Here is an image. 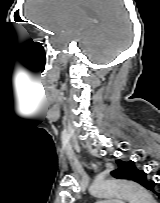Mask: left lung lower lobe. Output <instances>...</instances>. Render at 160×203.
I'll use <instances>...</instances> for the list:
<instances>
[{"instance_id": "0a47b994", "label": "left lung lower lobe", "mask_w": 160, "mask_h": 203, "mask_svg": "<svg viewBox=\"0 0 160 203\" xmlns=\"http://www.w3.org/2000/svg\"><path fill=\"white\" fill-rule=\"evenodd\" d=\"M157 183L154 181H149L145 188L155 193L160 198V193L157 191Z\"/></svg>"}]
</instances>
